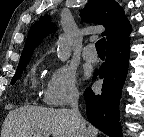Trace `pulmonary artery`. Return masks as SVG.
<instances>
[{
	"instance_id": "1",
	"label": "pulmonary artery",
	"mask_w": 144,
	"mask_h": 137,
	"mask_svg": "<svg viewBox=\"0 0 144 137\" xmlns=\"http://www.w3.org/2000/svg\"><path fill=\"white\" fill-rule=\"evenodd\" d=\"M82 55L83 58L88 62H96L98 58L93 44H88L85 46Z\"/></svg>"
}]
</instances>
